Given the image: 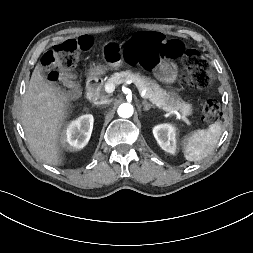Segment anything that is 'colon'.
I'll use <instances>...</instances> for the list:
<instances>
[{"mask_svg":"<svg viewBox=\"0 0 253 253\" xmlns=\"http://www.w3.org/2000/svg\"><path fill=\"white\" fill-rule=\"evenodd\" d=\"M88 41L84 39L68 40L53 47L43 56L42 63L48 72V79L61 82L68 94H74L77 86L70 70L76 65L81 50L86 49ZM159 55L181 58L180 78L194 89L209 87L214 74L207 60L194 49H186L179 40H168L160 34H134L125 45V56L129 63L149 68ZM206 122H216L221 115L219 103L214 99L205 101L202 108Z\"/></svg>","mask_w":253,"mask_h":253,"instance_id":"1","label":"colon"}]
</instances>
